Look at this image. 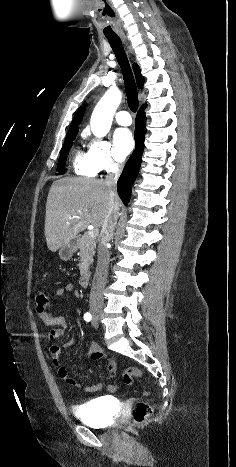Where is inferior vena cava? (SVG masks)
I'll return each instance as SVG.
<instances>
[{"mask_svg": "<svg viewBox=\"0 0 236 467\" xmlns=\"http://www.w3.org/2000/svg\"><path fill=\"white\" fill-rule=\"evenodd\" d=\"M121 167L116 165L110 170L105 179V185L110 191V203L108 213L102 225V230L99 236V244L97 250V266L92 281L90 292V307H102L103 305V290L106 283L108 264H109V251L107 244L112 239L114 230L117 224L119 208L115 206L113 198L116 194V184L120 176Z\"/></svg>", "mask_w": 236, "mask_h": 467, "instance_id": "obj_1", "label": "inferior vena cava"}]
</instances>
